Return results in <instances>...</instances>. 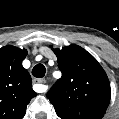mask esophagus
Here are the masks:
<instances>
[{"label":"esophagus","mask_w":119,"mask_h":119,"mask_svg":"<svg viewBox=\"0 0 119 119\" xmlns=\"http://www.w3.org/2000/svg\"><path fill=\"white\" fill-rule=\"evenodd\" d=\"M45 79H33V83H45Z\"/></svg>","instance_id":"34e87169"}]
</instances>
